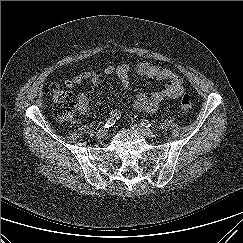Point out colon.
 Listing matches in <instances>:
<instances>
[{
	"mask_svg": "<svg viewBox=\"0 0 243 243\" xmlns=\"http://www.w3.org/2000/svg\"><path fill=\"white\" fill-rule=\"evenodd\" d=\"M53 102V111L58 118L67 119L76 109V100L73 93L56 84L50 86ZM180 106L185 113H192L195 109V100L190 95H184Z\"/></svg>",
	"mask_w": 243,
	"mask_h": 243,
	"instance_id": "obj_1",
	"label": "colon"
}]
</instances>
